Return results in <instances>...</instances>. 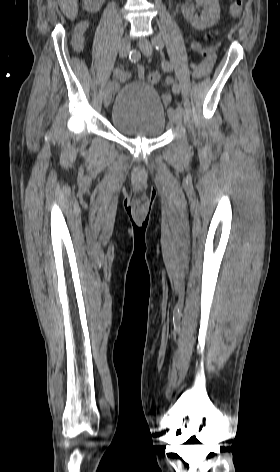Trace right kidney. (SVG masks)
<instances>
[{"label": "right kidney", "instance_id": "right-kidney-1", "mask_svg": "<svg viewBox=\"0 0 280 472\" xmlns=\"http://www.w3.org/2000/svg\"><path fill=\"white\" fill-rule=\"evenodd\" d=\"M83 2H84L83 7L85 10L91 13H95L99 11L104 0H83Z\"/></svg>", "mask_w": 280, "mask_h": 472}]
</instances>
